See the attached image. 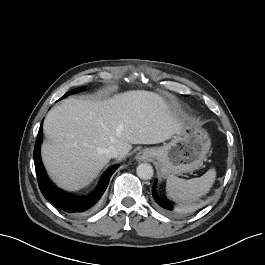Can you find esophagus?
<instances>
[{
  "label": "esophagus",
  "instance_id": "34e87169",
  "mask_svg": "<svg viewBox=\"0 0 265 265\" xmlns=\"http://www.w3.org/2000/svg\"><path fill=\"white\" fill-rule=\"evenodd\" d=\"M151 156H152L151 150H149V149H143V150H140L137 153L136 159L138 161H145V160H148Z\"/></svg>",
  "mask_w": 265,
  "mask_h": 265
}]
</instances>
